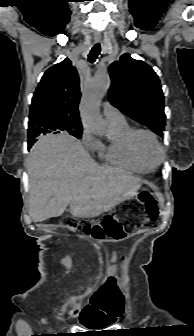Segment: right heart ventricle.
<instances>
[{"label":"right heart ventricle","mask_w":194,"mask_h":336,"mask_svg":"<svg viewBox=\"0 0 194 336\" xmlns=\"http://www.w3.org/2000/svg\"><path fill=\"white\" fill-rule=\"evenodd\" d=\"M116 132V137L107 144L100 143L97 148L99 158L106 163L135 174H146L153 169L141 164L133 156L128 136L132 128L125 121L121 124L111 125Z\"/></svg>","instance_id":"obj_1"}]
</instances>
